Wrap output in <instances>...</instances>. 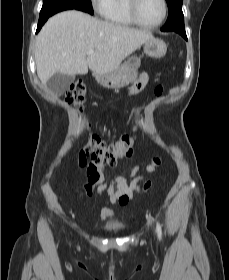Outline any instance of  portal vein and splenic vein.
<instances>
[{"label":"portal vein and splenic vein","instance_id":"obj_1","mask_svg":"<svg viewBox=\"0 0 229 280\" xmlns=\"http://www.w3.org/2000/svg\"><path fill=\"white\" fill-rule=\"evenodd\" d=\"M94 52H95L94 50H90V51H88L86 54H87V55H92V54H94Z\"/></svg>","mask_w":229,"mask_h":280}]
</instances>
